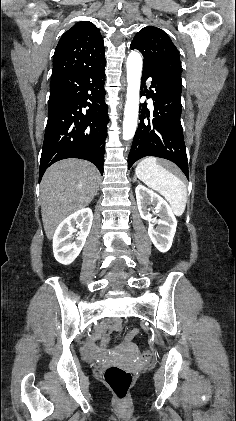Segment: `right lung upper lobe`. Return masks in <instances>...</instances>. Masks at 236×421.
Instances as JSON below:
<instances>
[{
    "label": "right lung upper lobe",
    "mask_w": 236,
    "mask_h": 421,
    "mask_svg": "<svg viewBox=\"0 0 236 421\" xmlns=\"http://www.w3.org/2000/svg\"><path fill=\"white\" fill-rule=\"evenodd\" d=\"M104 62V42L99 29L89 21H81L60 38L54 53L52 78Z\"/></svg>",
    "instance_id": "cb5924a9"
}]
</instances>
